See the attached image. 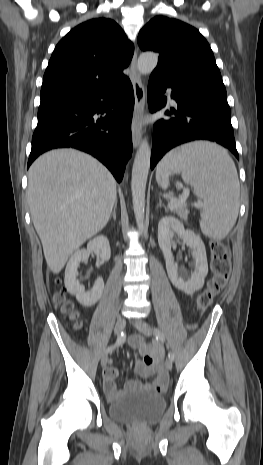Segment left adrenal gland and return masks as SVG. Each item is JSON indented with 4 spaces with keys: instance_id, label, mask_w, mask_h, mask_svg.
I'll return each mask as SVG.
<instances>
[{
    "instance_id": "left-adrenal-gland-1",
    "label": "left adrenal gland",
    "mask_w": 263,
    "mask_h": 465,
    "mask_svg": "<svg viewBox=\"0 0 263 465\" xmlns=\"http://www.w3.org/2000/svg\"><path fill=\"white\" fill-rule=\"evenodd\" d=\"M157 207H164L165 210H167V208L164 206V204H162V201H161L160 198H159V204L157 205Z\"/></svg>"
}]
</instances>
